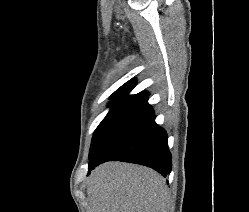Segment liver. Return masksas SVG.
Masks as SVG:
<instances>
[{
    "label": "liver",
    "mask_w": 249,
    "mask_h": 212,
    "mask_svg": "<svg viewBox=\"0 0 249 212\" xmlns=\"http://www.w3.org/2000/svg\"><path fill=\"white\" fill-rule=\"evenodd\" d=\"M86 188V212H166V180L145 166L106 162L91 172Z\"/></svg>",
    "instance_id": "6515ba94"
}]
</instances>
